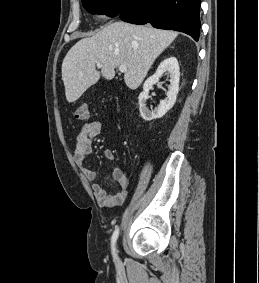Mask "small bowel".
<instances>
[{"instance_id":"obj_1","label":"small bowel","mask_w":259,"mask_h":283,"mask_svg":"<svg viewBox=\"0 0 259 283\" xmlns=\"http://www.w3.org/2000/svg\"><path fill=\"white\" fill-rule=\"evenodd\" d=\"M102 124L99 121H92L83 125L75 134L74 161L82 174L90 181L97 179V173L85 165V159L92 154V141L101 133ZM104 156L109 160H115V153L111 149L103 151ZM111 179L117 182L118 190L110 194L101 184L92 185L93 192L100 206L114 207L121 205L127 198L130 187V176L122 171L120 166H115L111 173Z\"/></svg>"}]
</instances>
